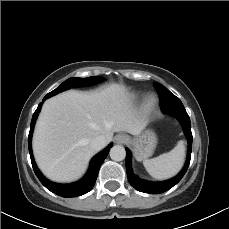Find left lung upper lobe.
<instances>
[{
	"label": "left lung upper lobe",
	"mask_w": 229,
	"mask_h": 229,
	"mask_svg": "<svg viewBox=\"0 0 229 229\" xmlns=\"http://www.w3.org/2000/svg\"><path fill=\"white\" fill-rule=\"evenodd\" d=\"M161 98V109L164 113L173 112L175 110L184 109L180 99L172 94L167 88L156 85Z\"/></svg>",
	"instance_id": "5c2ea615"
}]
</instances>
